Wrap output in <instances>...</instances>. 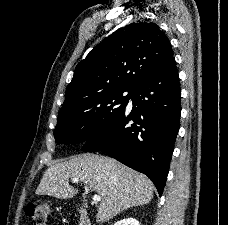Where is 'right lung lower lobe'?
Here are the masks:
<instances>
[{
	"instance_id": "right-lung-lower-lobe-1",
	"label": "right lung lower lobe",
	"mask_w": 228,
	"mask_h": 225,
	"mask_svg": "<svg viewBox=\"0 0 228 225\" xmlns=\"http://www.w3.org/2000/svg\"><path fill=\"white\" fill-rule=\"evenodd\" d=\"M130 98L131 111L126 104L115 118L85 141L82 150L108 153L147 175L161 196L181 113L175 58L134 88Z\"/></svg>"
}]
</instances>
